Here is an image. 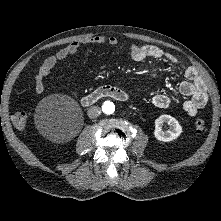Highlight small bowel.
<instances>
[{"label":"small bowel","mask_w":221,"mask_h":221,"mask_svg":"<svg viewBox=\"0 0 221 221\" xmlns=\"http://www.w3.org/2000/svg\"><path fill=\"white\" fill-rule=\"evenodd\" d=\"M107 43L110 46L118 45V39L114 36H93L84 40L70 43L60 49L55 55L48 57L41 64L35 76V92L42 94L45 91V78L51 73L54 67L66 58L76 54L81 48L87 45H102ZM128 56L135 62L143 61L147 58L166 59L173 65H179L178 59L154 45H129L125 48ZM186 80L180 84V92L188 99L182 104L183 110L194 116L198 110L203 108L208 102L206 86L197 70L192 66H184ZM176 100L169 94H157L153 96L151 103L157 108H167Z\"/></svg>","instance_id":"obj_1"}]
</instances>
